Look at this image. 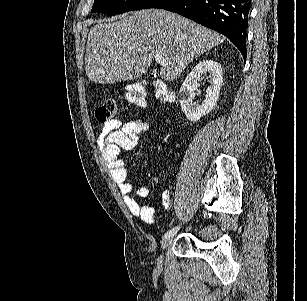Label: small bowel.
<instances>
[{"instance_id": "1", "label": "small bowel", "mask_w": 307, "mask_h": 301, "mask_svg": "<svg viewBox=\"0 0 307 301\" xmlns=\"http://www.w3.org/2000/svg\"><path fill=\"white\" fill-rule=\"evenodd\" d=\"M149 124L143 118L133 119L122 123L120 120H113L104 123L99 137L98 145L103 153L104 160L109 168L111 177L118 186L129 211L141 220L147 223L155 221V211L148 205H142L137 202V197H145L148 189L142 187L134 194L132 185L127 178V170L123 160L119 157L121 150H132L138 142L140 135L146 132ZM172 204V186H168L162 195V205L170 207Z\"/></svg>"}]
</instances>
